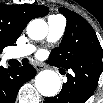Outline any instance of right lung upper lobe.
I'll return each instance as SVG.
<instances>
[{"label": "right lung upper lobe", "mask_w": 103, "mask_h": 103, "mask_svg": "<svg viewBox=\"0 0 103 103\" xmlns=\"http://www.w3.org/2000/svg\"><path fill=\"white\" fill-rule=\"evenodd\" d=\"M47 13L48 7L46 6L0 4V53L4 47L16 43L31 19L43 17Z\"/></svg>", "instance_id": "obj_1"}]
</instances>
